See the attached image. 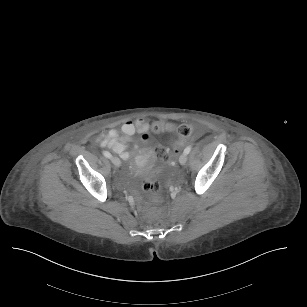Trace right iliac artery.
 <instances>
[{
  "mask_svg": "<svg viewBox=\"0 0 307 307\" xmlns=\"http://www.w3.org/2000/svg\"><path fill=\"white\" fill-rule=\"evenodd\" d=\"M103 155L107 158H111V154L108 151H103Z\"/></svg>",
  "mask_w": 307,
  "mask_h": 307,
  "instance_id": "1",
  "label": "right iliac artery"
}]
</instances>
